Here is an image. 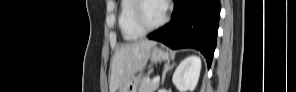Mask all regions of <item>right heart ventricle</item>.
Here are the masks:
<instances>
[{
  "label": "right heart ventricle",
  "mask_w": 296,
  "mask_h": 92,
  "mask_svg": "<svg viewBox=\"0 0 296 92\" xmlns=\"http://www.w3.org/2000/svg\"><path fill=\"white\" fill-rule=\"evenodd\" d=\"M134 4L135 0H123L120 3L118 25L125 40H135L144 35V32L136 27L132 19Z\"/></svg>",
  "instance_id": "e07e8e85"
}]
</instances>
